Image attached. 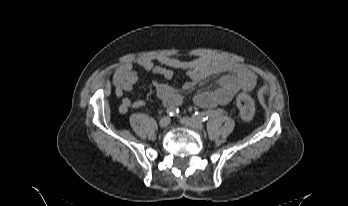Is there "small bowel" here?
<instances>
[{
  "instance_id": "1",
  "label": "small bowel",
  "mask_w": 348,
  "mask_h": 206,
  "mask_svg": "<svg viewBox=\"0 0 348 206\" xmlns=\"http://www.w3.org/2000/svg\"><path fill=\"white\" fill-rule=\"evenodd\" d=\"M158 61L159 64H155L149 58H141L137 61V66L166 80L173 77V70H185L189 78L183 85V89L186 91L194 89L209 76L225 73L219 79L217 89L202 91L195 96V103L202 108L225 105L232 100L238 90H251L257 83V76L246 66L221 57L202 56L194 60H181L162 56ZM137 80L138 74L131 62L121 64L113 73L112 83L116 96L121 100L119 107L121 113L145 106L143 100L132 101L124 96V93L130 91ZM153 87L165 107L176 108L182 104L181 93L171 85L155 81Z\"/></svg>"
}]
</instances>
